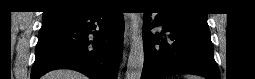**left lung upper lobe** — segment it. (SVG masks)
I'll use <instances>...</instances> for the list:
<instances>
[{"instance_id":"obj_1","label":"left lung upper lobe","mask_w":255,"mask_h":79,"mask_svg":"<svg viewBox=\"0 0 255 79\" xmlns=\"http://www.w3.org/2000/svg\"><path fill=\"white\" fill-rule=\"evenodd\" d=\"M179 3L180 2L174 1V0H163V1H160V4H161L160 8L173 10L174 12H176L177 14H180V15H189V16H192V17L207 19L206 14H201V13H196V12H189V11H182V8L179 5Z\"/></svg>"}]
</instances>
